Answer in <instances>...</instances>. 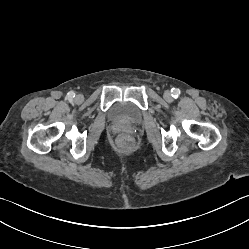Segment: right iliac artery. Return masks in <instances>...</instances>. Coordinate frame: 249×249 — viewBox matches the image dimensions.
Returning a JSON list of instances; mask_svg holds the SVG:
<instances>
[{"label":"right iliac artery","mask_w":249,"mask_h":249,"mask_svg":"<svg viewBox=\"0 0 249 249\" xmlns=\"http://www.w3.org/2000/svg\"><path fill=\"white\" fill-rule=\"evenodd\" d=\"M68 96H69L70 98H73V97L75 96V94H74L73 92H69V93H68Z\"/></svg>","instance_id":"right-iliac-artery-1"}]
</instances>
